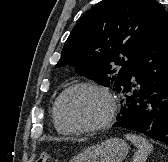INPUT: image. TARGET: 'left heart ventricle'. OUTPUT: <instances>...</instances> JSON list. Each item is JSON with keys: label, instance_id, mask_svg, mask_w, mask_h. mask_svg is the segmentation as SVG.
Wrapping results in <instances>:
<instances>
[{"label": "left heart ventricle", "instance_id": "1", "mask_svg": "<svg viewBox=\"0 0 168 162\" xmlns=\"http://www.w3.org/2000/svg\"><path fill=\"white\" fill-rule=\"evenodd\" d=\"M109 103L105 96L91 89H77L65 96L61 104L63 118L73 125H92L108 114Z\"/></svg>", "mask_w": 168, "mask_h": 162}]
</instances>
